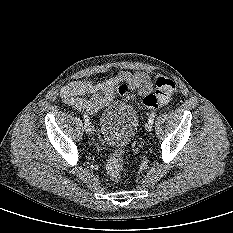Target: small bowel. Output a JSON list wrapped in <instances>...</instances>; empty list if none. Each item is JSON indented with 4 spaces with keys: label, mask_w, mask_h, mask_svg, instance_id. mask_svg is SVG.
Returning <instances> with one entry per match:
<instances>
[{
    "label": "small bowel",
    "mask_w": 233,
    "mask_h": 233,
    "mask_svg": "<svg viewBox=\"0 0 233 233\" xmlns=\"http://www.w3.org/2000/svg\"><path fill=\"white\" fill-rule=\"evenodd\" d=\"M135 89L142 96L148 95L153 84L143 72H120L115 78L98 83L74 81L61 90L63 101L75 110L93 113L106 105L116 94L127 95Z\"/></svg>",
    "instance_id": "small-bowel-1"
}]
</instances>
